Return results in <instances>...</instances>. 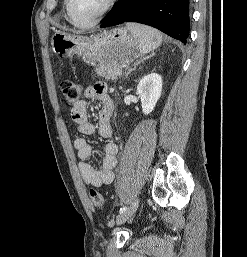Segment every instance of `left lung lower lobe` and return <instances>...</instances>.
<instances>
[{
    "instance_id": "1",
    "label": "left lung lower lobe",
    "mask_w": 247,
    "mask_h": 257,
    "mask_svg": "<svg viewBox=\"0 0 247 257\" xmlns=\"http://www.w3.org/2000/svg\"><path fill=\"white\" fill-rule=\"evenodd\" d=\"M123 22L150 25L186 44L189 35V0H118L100 27Z\"/></svg>"
}]
</instances>
